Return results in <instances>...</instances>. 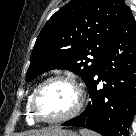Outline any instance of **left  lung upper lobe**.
<instances>
[{
    "label": "left lung upper lobe",
    "mask_w": 136,
    "mask_h": 136,
    "mask_svg": "<svg viewBox=\"0 0 136 136\" xmlns=\"http://www.w3.org/2000/svg\"><path fill=\"white\" fill-rule=\"evenodd\" d=\"M129 10L122 0H71L37 37L27 81L51 69H67L88 85Z\"/></svg>",
    "instance_id": "5c2ea615"
}]
</instances>
